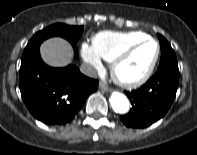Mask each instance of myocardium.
I'll return each instance as SVG.
<instances>
[{
    "label": "myocardium",
    "instance_id": "obj_1",
    "mask_svg": "<svg viewBox=\"0 0 197 155\" xmlns=\"http://www.w3.org/2000/svg\"><path fill=\"white\" fill-rule=\"evenodd\" d=\"M148 42H152L156 45V51L146 71L141 76L135 79H126L122 77L119 73V67L121 66V64L124 61H126L134 53L135 50H137L140 46ZM159 56H160V45L158 41L148 36L144 39H141L127 46L113 59L112 64H111V76L118 85L124 88H127V89L137 88L143 85L152 76L155 70V67L157 65Z\"/></svg>",
    "mask_w": 197,
    "mask_h": 155
}]
</instances>
